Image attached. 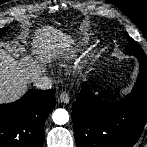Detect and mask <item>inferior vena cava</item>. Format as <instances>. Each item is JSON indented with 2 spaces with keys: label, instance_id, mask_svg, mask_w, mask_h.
<instances>
[{
  "label": "inferior vena cava",
  "instance_id": "602c4592",
  "mask_svg": "<svg viewBox=\"0 0 147 147\" xmlns=\"http://www.w3.org/2000/svg\"><path fill=\"white\" fill-rule=\"evenodd\" d=\"M34 85L38 89H42V90L51 89L53 85V81L51 78L47 76H41L35 81Z\"/></svg>",
  "mask_w": 147,
  "mask_h": 147
}]
</instances>
